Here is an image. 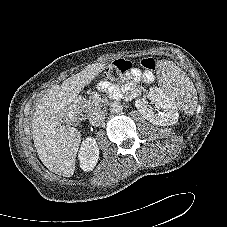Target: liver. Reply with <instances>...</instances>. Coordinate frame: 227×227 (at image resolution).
Here are the masks:
<instances>
[{
  "label": "liver",
  "instance_id": "6515ba94",
  "mask_svg": "<svg viewBox=\"0 0 227 227\" xmlns=\"http://www.w3.org/2000/svg\"><path fill=\"white\" fill-rule=\"evenodd\" d=\"M106 68L105 63L86 66L81 72L53 85L37 103L31 120L34 146L39 159L50 171L71 177L81 143L80 132L63 125L71 103L81 90Z\"/></svg>",
  "mask_w": 227,
  "mask_h": 227
}]
</instances>
